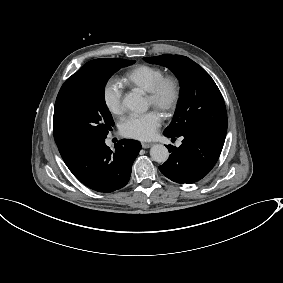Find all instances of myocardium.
Returning <instances> with one entry per match:
<instances>
[{"mask_svg": "<svg viewBox=\"0 0 283 283\" xmlns=\"http://www.w3.org/2000/svg\"><path fill=\"white\" fill-rule=\"evenodd\" d=\"M166 93H168L166 95ZM147 96L151 100L152 106H159L163 114L172 113L179 102L180 85L174 76H162L151 89L147 91Z\"/></svg>", "mask_w": 283, "mask_h": 283, "instance_id": "f54148a6", "label": "myocardium"}]
</instances>
